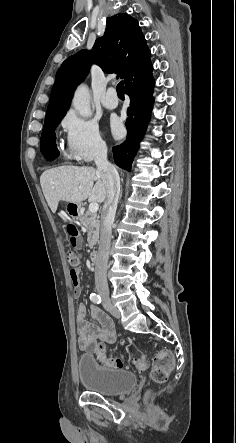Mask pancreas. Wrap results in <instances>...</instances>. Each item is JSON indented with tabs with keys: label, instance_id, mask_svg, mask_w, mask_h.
I'll use <instances>...</instances> for the list:
<instances>
[{
	"label": "pancreas",
	"instance_id": "obj_1",
	"mask_svg": "<svg viewBox=\"0 0 236 443\" xmlns=\"http://www.w3.org/2000/svg\"><path fill=\"white\" fill-rule=\"evenodd\" d=\"M81 225L88 231V244L90 248H94L99 239L100 221L96 213L87 211L80 218Z\"/></svg>",
	"mask_w": 236,
	"mask_h": 443
}]
</instances>
